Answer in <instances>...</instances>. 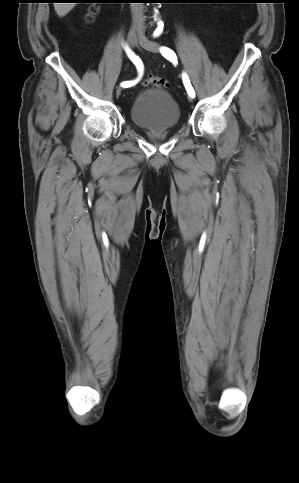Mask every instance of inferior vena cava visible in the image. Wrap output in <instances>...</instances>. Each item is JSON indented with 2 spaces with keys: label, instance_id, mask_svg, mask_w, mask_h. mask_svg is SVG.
Masks as SVG:
<instances>
[{
  "label": "inferior vena cava",
  "instance_id": "602c4592",
  "mask_svg": "<svg viewBox=\"0 0 299 483\" xmlns=\"http://www.w3.org/2000/svg\"><path fill=\"white\" fill-rule=\"evenodd\" d=\"M130 7L132 12L133 28L142 31L144 28V5L143 3H131Z\"/></svg>",
  "mask_w": 299,
  "mask_h": 483
}]
</instances>
